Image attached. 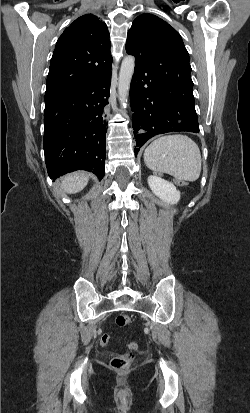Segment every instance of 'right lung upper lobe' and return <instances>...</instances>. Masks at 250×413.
<instances>
[{
    "label": "right lung upper lobe",
    "instance_id": "cb5924a9",
    "mask_svg": "<svg viewBox=\"0 0 250 413\" xmlns=\"http://www.w3.org/2000/svg\"><path fill=\"white\" fill-rule=\"evenodd\" d=\"M109 31L93 14L76 19L59 37L50 63L46 93L81 86L111 70Z\"/></svg>",
    "mask_w": 250,
    "mask_h": 413
}]
</instances>
